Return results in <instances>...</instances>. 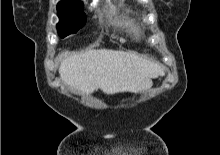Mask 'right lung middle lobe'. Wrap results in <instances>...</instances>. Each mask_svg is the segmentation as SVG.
Returning a JSON list of instances; mask_svg holds the SVG:
<instances>
[{"mask_svg":"<svg viewBox=\"0 0 220 155\" xmlns=\"http://www.w3.org/2000/svg\"><path fill=\"white\" fill-rule=\"evenodd\" d=\"M59 22L57 31L61 38L76 33L86 23L82 3H61L57 5Z\"/></svg>","mask_w":220,"mask_h":155,"instance_id":"1","label":"right lung middle lobe"}]
</instances>
